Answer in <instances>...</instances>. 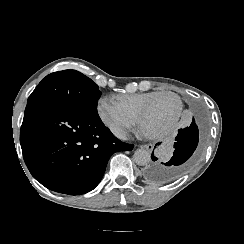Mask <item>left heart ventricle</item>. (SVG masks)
I'll use <instances>...</instances> for the list:
<instances>
[{
	"mask_svg": "<svg viewBox=\"0 0 244 244\" xmlns=\"http://www.w3.org/2000/svg\"><path fill=\"white\" fill-rule=\"evenodd\" d=\"M178 100L171 95H163L158 99L152 108L146 111V123L150 127H155L159 123V117L166 121L170 115L177 109Z\"/></svg>",
	"mask_w": 244,
	"mask_h": 244,
	"instance_id": "obj_1",
	"label": "left heart ventricle"
}]
</instances>
